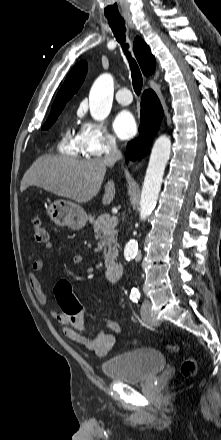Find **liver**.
Returning a JSON list of instances; mask_svg holds the SVG:
<instances>
[{
    "instance_id": "obj_1",
    "label": "liver",
    "mask_w": 221,
    "mask_h": 440,
    "mask_svg": "<svg viewBox=\"0 0 221 440\" xmlns=\"http://www.w3.org/2000/svg\"><path fill=\"white\" fill-rule=\"evenodd\" d=\"M107 166L102 158L77 160L61 156H41L24 174L20 190L37 186L78 203H86L98 194ZM114 196L115 184L113 180H109L105 185L103 205H109Z\"/></svg>"
}]
</instances>
